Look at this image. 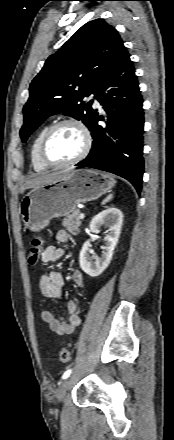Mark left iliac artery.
I'll return each mask as SVG.
<instances>
[{
	"instance_id": "1",
	"label": "left iliac artery",
	"mask_w": 174,
	"mask_h": 440,
	"mask_svg": "<svg viewBox=\"0 0 174 440\" xmlns=\"http://www.w3.org/2000/svg\"><path fill=\"white\" fill-rule=\"evenodd\" d=\"M71 372H72V370H71V369H68V370L63 374L62 379H66V378H68V377L70 376Z\"/></svg>"
}]
</instances>
